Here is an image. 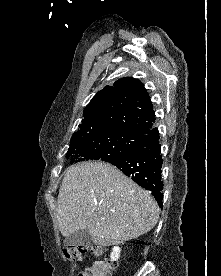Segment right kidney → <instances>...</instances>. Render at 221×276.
<instances>
[{
	"instance_id": "right-kidney-1",
	"label": "right kidney",
	"mask_w": 221,
	"mask_h": 276,
	"mask_svg": "<svg viewBox=\"0 0 221 276\" xmlns=\"http://www.w3.org/2000/svg\"><path fill=\"white\" fill-rule=\"evenodd\" d=\"M120 251L121 249L119 247H114L112 249V252H111V255H110V258L112 261H117L120 257Z\"/></svg>"
}]
</instances>
